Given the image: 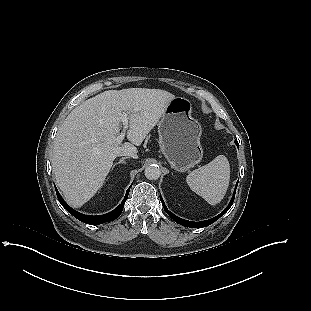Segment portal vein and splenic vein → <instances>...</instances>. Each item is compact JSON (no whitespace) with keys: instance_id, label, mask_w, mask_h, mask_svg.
<instances>
[{"instance_id":"1","label":"portal vein and splenic vein","mask_w":311,"mask_h":311,"mask_svg":"<svg viewBox=\"0 0 311 311\" xmlns=\"http://www.w3.org/2000/svg\"><path fill=\"white\" fill-rule=\"evenodd\" d=\"M121 120H122L124 126H123L122 132L116 138V142L118 144L122 143V141L126 135V130L128 129V113H123L121 116Z\"/></svg>"}]
</instances>
